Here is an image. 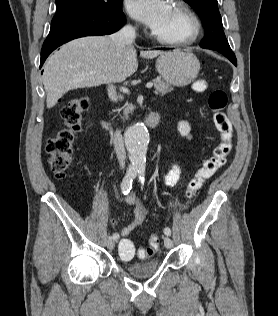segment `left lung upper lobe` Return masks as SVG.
Instances as JSON below:
<instances>
[{"label":"left lung upper lobe","instance_id":"5c2ea615","mask_svg":"<svg viewBox=\"0 0 278 316\" xmlns=\"http://www.w3.org/2000/svg\"><path fill=\"white\" fill-rule=\"evenodd\" d=\"M199 15L205 29V36L200 46L207 49L216 50L235 64L236 57L231 50L222 29L221 15L218 10L217 0H184Z\"/></svg>","mask_w":278,"mask_h":316}]
</instances>
